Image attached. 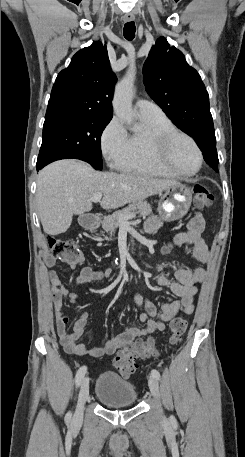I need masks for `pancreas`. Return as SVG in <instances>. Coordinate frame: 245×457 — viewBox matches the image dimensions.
<instances>
[{
    "label": "pancreas",
    "mask_w": 245,
    "mask_h": 457,
    "mask_svg": "<svg viewBox=\"0 0 245 457\" xmlns=\"http://www.w3.org/2000/svg\"><path fill=\"white\" fill-rule=\"evenodd\" d=\"M121 214L122 216H131V214H138V216H147V214H152V208L147 202V200H139V202H133V204H129L123 210H116L113 214H109V216H104L103 220H101V224L105 233H110V235H114L116 229L121 224Z\"/></svg>",
    "instance_id": "obj_1"
}]
</instances>
